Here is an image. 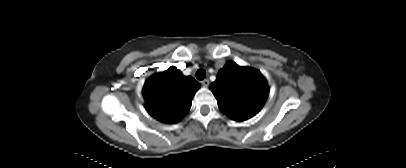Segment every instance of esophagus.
Here are the masks:
<instances>
[{"mask_svg": "<svg viewBox=\"0 0 406 168\" xmlns=\"http://www.w3.org/2000/svg\"><path fill=\"white\" fill-rule=\"evenodd\" d=\"M201 83H202V85H203L204 87H208V86H209V80H208V79H204Z\"/></svg>", "mask_w": 406, "mask_h": 168, "instance_id": "obj_1", "label": "esophagus"}]
</instances>
